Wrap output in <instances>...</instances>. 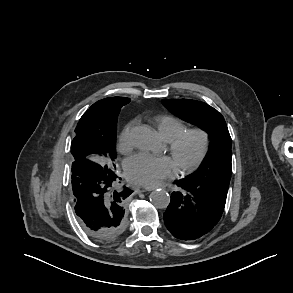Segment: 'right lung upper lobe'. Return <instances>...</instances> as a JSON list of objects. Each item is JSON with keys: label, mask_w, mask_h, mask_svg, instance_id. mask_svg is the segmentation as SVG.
Here are the masks:
<instances>
[{"label": "right lung upper lobe", "mask_w": 293, "mask_h": 293, "mask_svg": "<svg viewBox=\"0 0 293 293\" xmlns=\"http://www.w3.org/2000/svg\"><path fill=\"white\" fill-rule=\"evenodd\" d=\"M130 102L129 98L125 97H110L100 100L93 104L81 117L79 124H94L97 125L99 129H109L111 122L112 111L118 107ZM86 159L96 162V156L92 153L87 154H77L74 160Z\"/></svg>", "instance_id": "right-lung-upper-lobe-1"}]
</instances>
